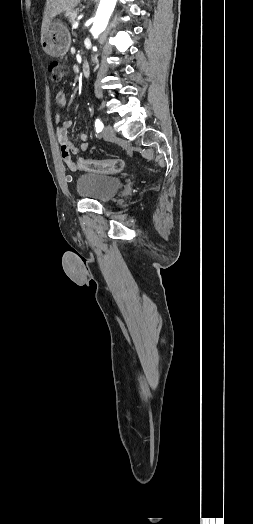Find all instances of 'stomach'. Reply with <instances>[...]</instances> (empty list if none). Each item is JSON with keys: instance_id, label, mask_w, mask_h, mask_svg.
I'll return each mask as SVG.
<instances>
[{"instance_id": "0dacf381", "label": "stomach", "mask_w": 253, "mask_h": 524, "mask_svg": "<svg viewBox=\"0 0 253 524\" xmlns=\"http://www.w3.org/2000/svg\"><path fill=\"white\" fill-rule=\"evenodd\" d=\"M71 43L67 27L61 21L50 22L41 35V46L51 57H63Z\"/></svg>"}]
</instances>
